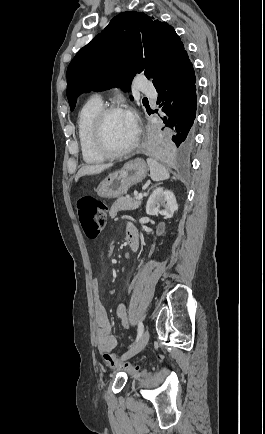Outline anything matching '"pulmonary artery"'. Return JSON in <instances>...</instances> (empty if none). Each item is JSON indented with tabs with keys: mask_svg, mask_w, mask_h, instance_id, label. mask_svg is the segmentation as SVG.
<instances>
[{
	"mask_svg": "<svg viewBox=\"0 0 265 434\" xmlns=\"http://www.w3.org/2000/svg\"><path fill=\"white\" fill-rule=\"evenodd\" d=\"M136 81L138 84H145L147 81V78L145 75H138L136 78ZM93 97L95 100H102L104 97V94L102 91H95L93 94Z\"/></svg>",
	"mask_w": 265,
	"mask_h": 434,
	"instance_id": "1",
	"label": "pulmonary artery"
}]
</instances>
